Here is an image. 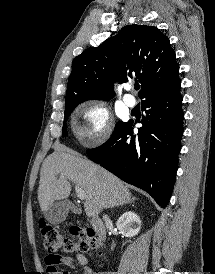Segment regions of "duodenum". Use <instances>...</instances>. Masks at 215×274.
<instances>
[{
    "label": "duodenum",
    "mask_w": 215,
    "mask_h": 274,
    "mask_svg": "<svg viewBox=\"0 0 215 274\" xmlns=\"http://www.w3.org/2000/svg\"><path fill=\"white\" fill-rule=\"evenodd\" d=\"M92 229L98 235L101 240L106 238V228L104 223L97 217H91L88 219Z\"/></svg>",
    "instance_id": "obj_1"
}]
</instances>
